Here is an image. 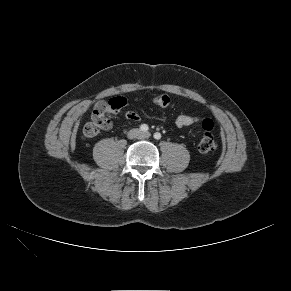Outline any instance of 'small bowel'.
Segmentation results:
<instances>
[{
	"label": "small bowel",
	"instance_id": "small-bowel-1",
	"mask_svg": "<svg viewBox=\"0 0 291 291\" xmlns=\"http://www.w3.org/2000/svg\"><path fill=\"white\" fill-rule=\"evenodd\" d=\"M108 103L104 101L98 102L95 105L93 114L103 110L108 105ZM125 117L131 121H138L140 119L139 115L135 113L134 111H127L125 114ZM198 121H199V117L197 116L181 114L176 118L175 123L178 127H187Z\"/></svg>",
	"mask_w": 291,
	"mask_h": 291
}]
</instances>
